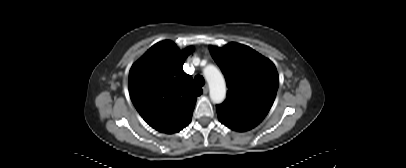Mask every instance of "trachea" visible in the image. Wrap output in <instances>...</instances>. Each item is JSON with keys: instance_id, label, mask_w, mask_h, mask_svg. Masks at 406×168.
<instances>
[{"instance_id": "obj_1", "label": "trachea", "mask_w": 406, "mask_h": 168, "mask_svg": "<svg viewBox=\"0 0 406 168\" xmlns=\"http://www.w3.org/2000/svg\"><path fill=\"white\" fill-rule=\"evenodd\" d=\"M194 82H195V84H196L197 86H204V84H205L204 78H203V76H201V75L195 76Z\"/></svg>"}]
</instances>
